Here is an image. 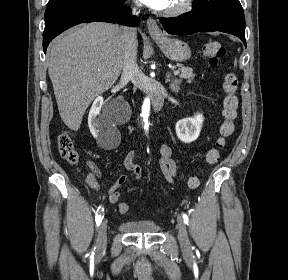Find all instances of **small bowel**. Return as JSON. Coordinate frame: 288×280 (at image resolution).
Segmentation results:
<instances>
[{
    "mask_svg": "<svg viewBox=\"0 0 288 280\" xmlns=\"http://www.w3.org/2000/svg\"><path fill=\"white\" fill-rule=\"evenodd\" d=\"M136 152L130 151L123 160L124 166L128 171L133 174V181L138 180L142 175L141 167L135 163ZM90 170L93 172L94 175H99L100 172L98 168L91 162L88 163ZM160 169L164 176V178L169 182L173 183L178 171L180 169V164L178 160L173 158L172 156V148L168 145L164 144L161 148V158H160ZM128 178L126 175H121L117 181L110 187L108 191L109 200L111 203L116 204L120 200V188L127 182ZM140 186L138 185H130L127 187L126 192H132L138 190ZM123 202L119 203V211L120 206ZM124 214L123 212H121Z\"/></svg>",
    "mask_w": 288,
    "mask_h": 280,
    "instance_id": "small-bowel-1",
    "label": "small bowel"
}]
</instances>
